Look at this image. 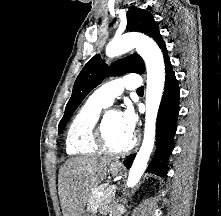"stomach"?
<instances>
[{
    "label": "stomach",
    "instance_id": "stomach-1",
    "mask_svg": "<svg viewBox=\"0 0 221 216\" xmlns=\"http://www.w3.org/2000/svg\"><path fill=\"white\" fill-rule=\"evenodd\" d=\"M109 171L113 175H117L121 173L122 168L118 164H111L109 167ZM81 216H94V213L91 210L84 211Z\"/></svg>",
    "mask_w": 221,
    "mask_h": 216
}]
</instances>
